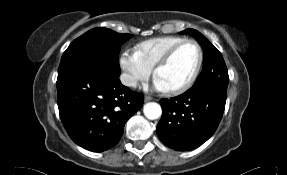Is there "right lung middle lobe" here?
I'll use <instances>...</instances> for the list:
<instances>
[{
  "label": "right lung middle lobe",
  "mask_w": 287,
  "mask_h": 175,
  "mask_svg": "<svg viewBox=\"0 0 287 175\" xmlns=\"http://www.w3.org/2000/svg\"><path fill=\"white\" fill-rule=\"evenodd\" d=\"M132 37L103 27L94 28L75 39L62 55L58 77L76 70H91L119 77L121 45Z\"/></svg>",
  "instance_id": "dd1d6c3e"
}]
</instances>
